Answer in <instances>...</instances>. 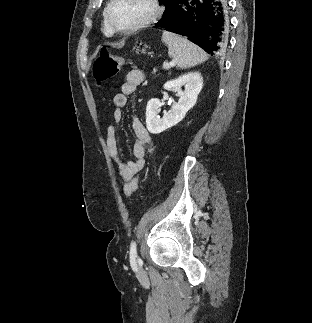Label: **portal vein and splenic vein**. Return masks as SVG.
Segmentation results:
<instances>
[{"instance_id":"portal-vein-and-splenic-vein-1","label":"portal vein and splenic vein","mask_w":312,"mask_h":323,"mask_svg":"<svg viewBox=\"0 0 312 323\" xmlns=\"http://www.w3.org/2000/svg\"><path fill=\"white\" fill-rule=\"evenodd\" d=\"M170 66H174V60L173 62H164L163 68H170Z\"/></svg>"}]
</instances>
